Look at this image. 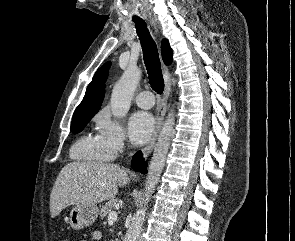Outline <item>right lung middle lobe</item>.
<instances>
[{
    "label": "right lung middle lobe",
    "instance_id": "right-lung-middle-lobe-1",
    "mask_svg": "<svg viewBox=\"0 0 295 241\" xmlns=\"http://www.w3.org/2000/svg\"><path fill=\"white\" fill-rule=\"evenodd\" d=\"M95 113H97V111L74 114L72 118L71 131L73 133L81 132Z\"/></svg>",
    "mask_w": 295,
    "mask_h": 241
}]
</instances>
